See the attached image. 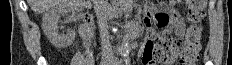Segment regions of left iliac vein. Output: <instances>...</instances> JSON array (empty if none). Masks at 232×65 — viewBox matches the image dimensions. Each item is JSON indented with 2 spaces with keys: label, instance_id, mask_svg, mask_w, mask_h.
<instances>
[{
  "label": "left iliac vein",
  "instance_id": "4c4485c4",
  "mask_svg": "<svg viewBox=\"0 0 232 65\" xmlns=\"http://www.w3.org/2000/svg\"><path fill=\"white\" fill-rule=\"evenodd\" d=\"M114 65H121L119 62L115 63Z\"/></svg>",
  "mask_w": 232,
  "mask_h": 65
}]
</instances>
